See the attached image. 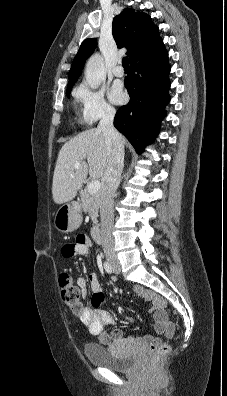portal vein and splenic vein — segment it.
I'll use <instances>...</instances> for the list:
<instances>
[{"label":"portal vein and splenic vein","mask_w":227,"mask_h":396,"mask_svg":"<svg viewBox=\"0 0 227 396\" xmlns=\"http://www.w3.org/2000/svg\"><path fill=\"white\" fill-rule=\"evenodd\" d=\"M80 166H81L80 163H76V164L74 165L75 169H78ZM72 177H73V176H72ZM100 187H101V184H100V182H99L98 180H92V181L88 184V191H89L90 193H96V192H99Z\"/></svg>","instance_id":"18ae733b"}]
</instances>
